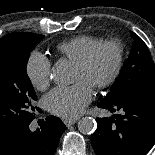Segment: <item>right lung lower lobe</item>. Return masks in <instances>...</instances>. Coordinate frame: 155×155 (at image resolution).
<instances>
[{
    "label": "right lung lower lobe",
    "mask_w": 155,
    "mask_h": 155,
    "mask_svg": "<svg viewBox=\"0 0 155 155\" xmlns=\"http://www.w3.org/2000/svg\"><path fill=\"white\" fill-rule=\"evenodd\" d=\"M30 123L0 130V155H52L55 152L66 129L62 121L49 116L35 132L30 131Z\"/></svg>",
    "instance_id": "right-lung-lower-lobe-1"
}]
</instances>
